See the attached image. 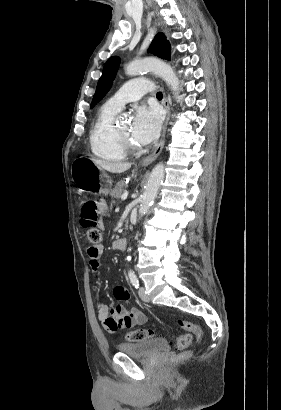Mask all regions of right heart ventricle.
I'll list each match as a JSON object with an SVG mask.
<instances>
[{"instance_id": "obj_1", "label": "right heart ventricle", "mask_w": 281, "mask_h": 410, "mask_svg": "<svg viewBox=\"0 0 281 410\" xmlns=\"http://www.w3.org/2000/svg\"><path fill=\"white\" fill-rule=\"evenodd\" d=\"M117 113L118 111L104 105L98 112L90 130L89 142L92 154L106 162L121 161L127 154V149L114 126Z\"/></svg>"}]
</instances>
